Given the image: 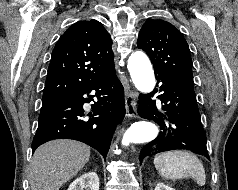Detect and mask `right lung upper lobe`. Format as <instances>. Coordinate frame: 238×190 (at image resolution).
Returning a JSON list of instances; mask_svg holds the SVG:
<instances>
[{
	"instance_id": "cb5924a9",
	"label": "right lung upper lobe",
	"mask_w": 238,
	"mask_h": 190,
	"mask_svg": "<svg viewBox=\"0 0 238 190\" xmlns=\"http://www.w3.org/2000/svg\"><path fill=\"white\" fill-rule=\"evenodd\" d=\"M112 40L97 20L79 21L56 43L48 68L42 104L64 100L113 71Z\"/></svg>"
}]
</instances>
